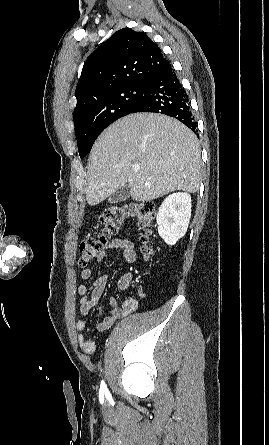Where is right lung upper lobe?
Returning a JSON list of instances; mask_svg holds the SVG:
<instances>
[{"mask_svg":"<svg viewBox=\"0 0 269 445\" xmlns=\"http://www.w3.org/2000/svg\"><path fill=\"white\" fill-rule=\"evenodd\" d=\"M168 63L144 32L131 28L118 30L85 62L75 91V110L88 100L122 86L148 84Z\"/></svg>","mask_w":269,"mask_h":445,"instance_id":"right-lung-upper-lobe-1","label":"right lung upper lobe"}]
</instances>
